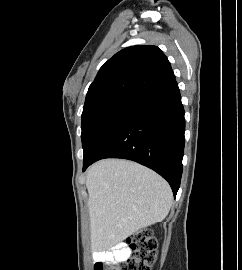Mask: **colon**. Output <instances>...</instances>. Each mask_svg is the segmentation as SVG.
I'll list each match as a JSON object with an SVG mask.
<instances>
[{"label": "colon", "instance_id": "colon-1", "mask_svg": "<svg viewBox=\"0 0 242 270\" xmlns=\"http://www.w3.org/2000/svg\"><path fill=\"white\" fill-rule=\"evenodd\" d=\"M129 256L112 266V270H152L157 257V242L151 232L141 229L127 241ZM94 270H107L95 263Z\"/></svg>", "mask_w": 242, "mask_h": 270}]
</instances>
